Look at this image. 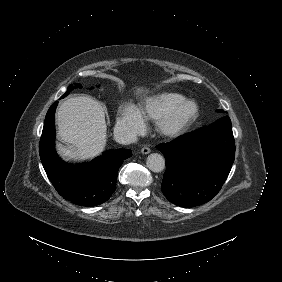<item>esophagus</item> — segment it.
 <instances>
[{
    "label": "esophagus",
    "mask_w": 282,
    "mask_h": 282,
    "mask_svg": "<svg viewBox=\"0 0 282 282\" xmlns=\"http://www.w3.org/2000/svg\"><path fill=\"white\" fill-rule=\"evenodd\" d=\"M150 148L149 147H143L142 149H141V152L143 153V154H149L150 153Z\"/></svg>",
    "instance_id": "obj_1"
}]
</instances>
